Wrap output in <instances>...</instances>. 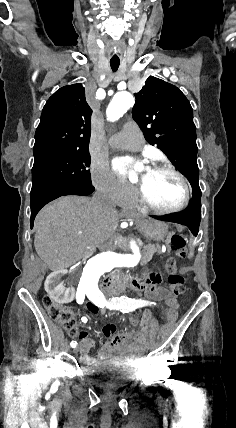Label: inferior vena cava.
I'll return each mask as SVG.
<instances>
[{
	"label": "inferior vena cava",
	"instance_id": "602c4592",
	"mask_svg": "<svg viewBox=\"0 0 236 428\" xmlns=\"http://www.w3.org/2000/svg\"><path fill=\"white\" fill-rule=\"evenodd\" d=\"M105 182H107V184H108L109 178H106ZM94 198H95V200H96V198H98L101 206H109V204H106V200H105L103 194H95Z\"/></svg>",
	"mask_w": 236,
	"mask_h": 428
}]
</instances>
